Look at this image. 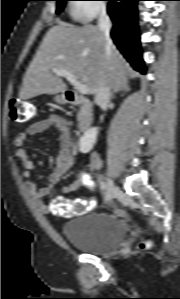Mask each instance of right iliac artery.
Returning <instances> with one entry per match:
<instances>
[{
  "label": "right iliac artery",
  "mask_w": 180,
  "mask_h": 299,
  "mask_svg": "<svg viewBox=\"0 0 180 299\" xmlns=\"http://www.w3.org/2000/svg\"><path fill=\"white\" fill-rule=\"evenodd\" d=\"M100 189H101L102 191H105V190H106V184H105L104 181H101V182H100Z\"/></svg>",
  "instance_id": "82829eb1"
}]
</instances>
